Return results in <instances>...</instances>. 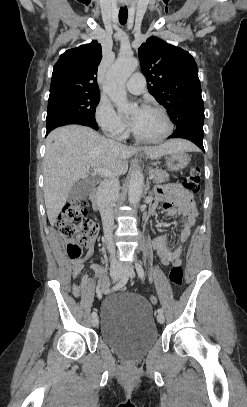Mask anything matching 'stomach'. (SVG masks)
Wrapping results in <instances>:
<instances>
[{
  "mask_svg": "<svg viewBox=\"0 0 247 407\" xmlns=\"http://www.w3.org/2000/svg\"><path fill=\"white\" fill-rule=\"evenodd\" d=\"M165 164L170 171H181L190 163V157L184 151H176L164 155Z\"/></svg>",
  "mask_w": 247,
  "mask_h": 407,
  "instance_id": "1",
  "label": "stomach"
}]
</instances>
